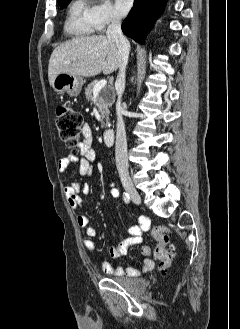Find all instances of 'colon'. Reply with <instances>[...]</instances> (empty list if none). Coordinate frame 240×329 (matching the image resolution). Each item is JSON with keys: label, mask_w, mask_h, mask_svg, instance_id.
I'll use <instances>...</instances> for the list:
<instances>
[{"label": "colon", "mask_w": 240, "mask_h": 329, "mask_svg": "<svg viewBox=\"0 0 240 329\" xmlns=\"http://www.w3.org/2000/svg\"><path fill=\"white\" fill-rule=\"evenodd\" d=\"M55 119L59 135L68 148L77 149L78 139L83 126L82 115L68 107L59 106L55 111ZM170 230L166 226H156L152 229V236L157 242L155 257L159 260L161 268H167L174 257V251L169 244Z\"/></svg>", "instance_id": "1"}]
</instances>
